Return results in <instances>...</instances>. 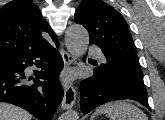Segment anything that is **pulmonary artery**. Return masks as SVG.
<instances>
[{
	"label": "pulmonary artery",
	"instance_id": "1",
	"mask_svg": "<svg viewBox=\"0 0 165 120\" xmlns=\"http://www.w3.org/2000/svg\"><path fill=\"white\" fill-rule=\"evenodd\" d=\"M88 51L91 53V54H93V55H95V56H97V57H99V58H101L102 57V53H101V51L98 49V48H96V47H89L88 48Z\"/></svg>",
	"mask_w": 165,
	"mask_h": 120
}]
</instances>
